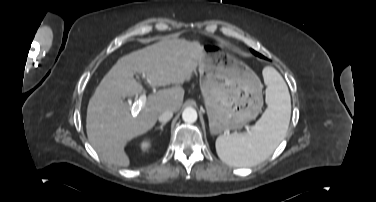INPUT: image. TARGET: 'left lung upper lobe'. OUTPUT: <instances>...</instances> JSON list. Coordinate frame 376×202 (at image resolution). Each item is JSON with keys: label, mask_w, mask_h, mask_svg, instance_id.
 <instances>
[{"label": "left lung upper lobe", "mask_w": 376, "mask_h": 202, "mask_svg": "<svg viewBox=\"0 0 376 202\" xmlns=\"http://www.w3.org/2000/svg\"><path fill=\"white\" fill-rule=\"evenodd\" d=\"M251 52H252L253 54H255V55H257V56H259V57L263 58V56H262L261 54H259L258 52H256V51H254V50H251Z\"/></svg>", "instance_id": "5c2ea615"}]
</instances>
